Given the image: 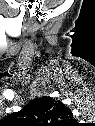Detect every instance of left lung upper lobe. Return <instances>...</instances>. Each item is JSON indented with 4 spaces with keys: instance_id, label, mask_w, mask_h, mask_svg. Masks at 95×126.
<instances>
[{
    "instance_id": "obj_1",
    "label": "left lung upper lobe",
    "mask_w": 95,
    "mask_h": 126,
    "mask_svg": "<svg viewBox=\"0 0 95 126\" xmlns=\"http://www.w3.org/2000/svg\"><path fill=\"white\" fill-rule=\"evenodd\" d=\"M7 119L16 126H69L73 114L61 101L43 96L32 100L20 111L11 113Z\"/></svg>"
}]
</instances>
